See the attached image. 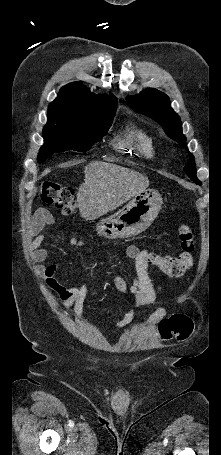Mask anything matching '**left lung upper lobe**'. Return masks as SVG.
I'll return each instance as SVG.
<instances>
[{
  "instance_id": "left-lung-upper-lobe-1",
  "label": "left lung upper lobe",
  "mask_w": 221,
  "mask_h": 455,
  "mask_svg": "<svg viewBox=\"0 0 221 455\" xmlns=\"http://www.w3.org/2000/svg\"><path fill=\"white\" fill-rule=\"evenodd\" d=\"M128 104L136 111L145 114L157 121L165 130L166 134L177 141L180 146L186 148V138L182 134L180 117L170 106L169 97L154 88H148L140 94L127 98ZM194 157L191 155L184 167L186 174L197 184Z\"/></svg>"
}]
</instances>
